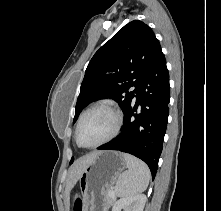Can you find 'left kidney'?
<instances>
[{"label":"left kidney","instance_id":"5707ae66","mask_svg":"<svg viewBox=\"0 0 221 211\" xmlns=\"http://www.w3.org/2000/svg\"><path fill=\"white\" fill-rule=\"evenodd\" d=\"M146 203V196L144 194H139L135 196H130L126 198H121L115 202L112 211H143Z\"/></svg>","mask_w":221,"mask_h":211}]
</instances>
